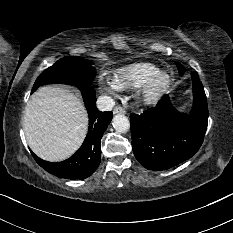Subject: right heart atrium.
<instances>
[{
    "mask_svg": "<svg viewBox=\"0 0 233 233\" xmlns=\"http://www.w3.org/2000/svg\"><path fill=\"white\" fill-rule=\"evenodd\" d=\"M101 87L102 89L111 94V95H117L120 89L116 85L115 81H112L109 78H103L101 81Z\"/></svg>",
    "mask_w": 233,
    "mask_h": 233,
    "instance_id": "1",
    "label": "right heart atrium"
}]
</instances>
